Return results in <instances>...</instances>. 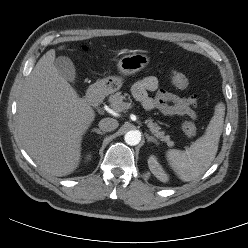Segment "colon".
<instances>
[{"mask_svg": "<svg viewBox=\"0 0 248 248\" xmlns=\"http://www.w3.org/2000/svg\"><path fill=\"white\" fill-rule=\"evenodd\" d=\"M169 81L174 87L178 89H184L188 85L186 76L176 70L170 71ZM182 129L184 134L188 137H194L197 133L194 123L190 120H187L183 123Z\"/></svg>", "mask_w": 248, "mask_h": 248, "instance_id": "obj_1", "label": "colon"}]
</instances>
